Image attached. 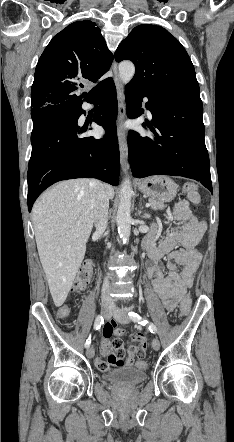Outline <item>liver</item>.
<instances>
[{
  "mask_svg": "<svg viewBox=\"0 0 234 442\" xmlns=\"http://www.w3.org/2000/svg\"><path fill=\"white\" fill-rule=\"evenodd\" d=\"M104 187L112 199L113 187ZM91 199L90 180L72 179L47 190L32 209L39 258L57 307L65 302L85 256L94 223Z\"/></svg>",
  "mask_w": 234,
  "mask_h": 442,
  "instance_id": "obj_1",
  "label": "liver"
}]
</instances>
